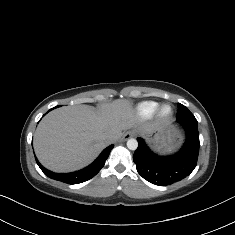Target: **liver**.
<instances>
[{"label": "liver", "instance_id": "6515ba94", "mask_svg": "<svg viewBox=\"0 0 235 235\" xmlns=\"http://www.w3.org/2000/svg\"><path fill=\"white\" fill-rule=\"evenodd\" d=\"M132 103L117 99L99 109L87 105L64 106L48 113L38 124L33 146L40 163L47 169L72 172L90 164L109 144L107 135L122 134L136 126ZM158 127L145 123L142 134Z\"/></svg>", "mask_w": 235, "mask_h": 235}]
</instances>
